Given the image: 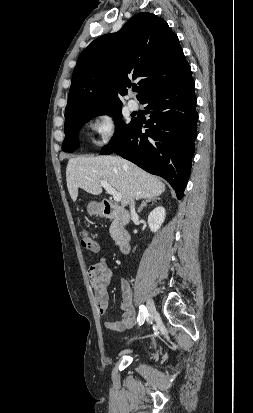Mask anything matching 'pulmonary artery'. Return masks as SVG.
I'll return each instance as SVG.
<instances>
[{
	"instance_id": "e3ab8cb5",
	"label": "pulmonary artery",
	"mask_w": 253,
	"mask_h": 413,
	"mask_svg": "<svg viewBox=\"0 0 253 413\" xmlns=\"http://www.w3.org/2000/svg\"><path fill=\"white\" fill-rule=\"evenodd\" d=\"M138 107H139L138 102H137L135 99L130 98V99L128 100V108H129L131 111L137 110Z\"/></svg>"
}]
</instances>
